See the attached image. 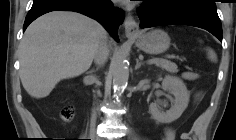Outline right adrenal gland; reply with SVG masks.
Segmentation results:
<instances>
[{
  "mask_svg": "<svg viewBox=\"0 0 236 140\" xmlns=\"http://www.w3.org/2000/svg\"><path fill=\"white\" fill-rule=\"evenodd\" d=\"M98 69V68H97ZM94 72V70H92V71H90L89 73H93Z\"/></svg>",
  "mask_w": 236,
  "mask_h": 140,
  "instance_id": "2a0ac1e0",
  "label": "right adrenal gland"
}]
</instances>
